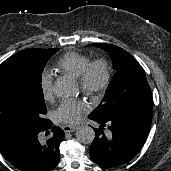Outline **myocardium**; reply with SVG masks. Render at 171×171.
I'll return each instance as SVG.
<instances>
[{
    "mask_svg": "<svg viewBox=\"0 0 171 171\" xmlns=\"http://www.w3.org/2000/svg\"><path fill=\"white\" fill-rule=\"evenodd\" d=\"M100 70L99 80L94 77L95 70ZM81 90L91 96L103 93L111 81V69L109 63L104 59L90 61L78 78Z\"/></svg>",
    "mask_w": 171,
    "mask_h": 171,
    "instance_id": "1",
    "label": "myocardium"
}]
</instances>
